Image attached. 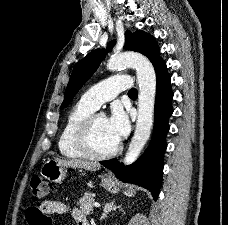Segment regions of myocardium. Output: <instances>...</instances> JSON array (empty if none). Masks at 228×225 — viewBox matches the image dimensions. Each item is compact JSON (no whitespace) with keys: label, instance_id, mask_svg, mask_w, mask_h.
Instances as JSON below:
<instances>
[{"label":"myocardium","instance_id":"myocardium-1","mask_svg":"<svg viewBox=\"0 0 228 225\" xmlns=\"http://www.w3.org/2000/svg\"><path fill=\"white\" fill-rule=\"evenodd\" d=\"M97 114L89 115L80 125L76 134V144L78 148L86 153L87 155L94 158H107L117 154L122 145L117 143V145L109 150H100L96 147L93 141L92 127Z\"/></svg>","mask_w":228,"mask_h":225}]
</instances>
